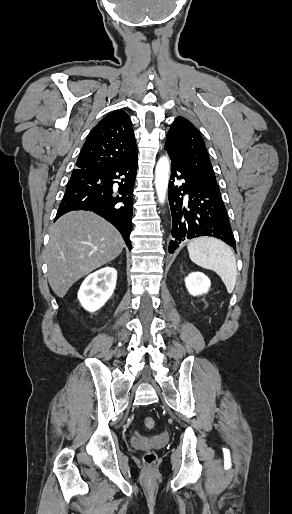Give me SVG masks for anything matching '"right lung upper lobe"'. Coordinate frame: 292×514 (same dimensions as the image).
Wrapping results in <instances>:
<instances>
[{
	"label": "right lung upper lobe",
	"instance_id": "obj_1",
	"mask_svg": "<svg viewBox=\"0 0 292 514\" xmlns=\"http://www.w3.org/2000/svg\"><path fill=\"white\" fill-rule=\"evenodd\" d=\"M137 156L132 122L123 110L104 117L89 133L74 171L99 170Z\"/></svg>",
	"mask_w": 292,
	"mask_h": 514
}]
</instances>
